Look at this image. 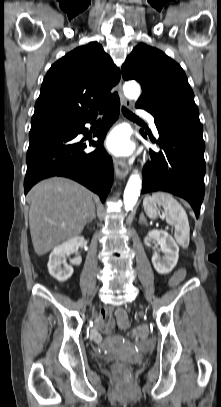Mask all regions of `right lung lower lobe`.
Wrapping results in <instances>:
<instances>
[{"mask_svg": "<svg viewBox=\"0 0 221 407\" xmlns=\"http://www.w3.org/2000/svg\"><path fill=\"white\" fill-rule=\"evenodd\" d=\"M103 122L94 133L98 141H89L97 149L85 153L84 139L77 141L78 134H85L86 123H92L97 113L79 121L60 124L29 133L30 144L26 155L27 172L24 180L25 194L38 181L50 176H64L86 186L100 196L102 202L113 182L112 159L102 147L110 126L118 119L119 100L100 111Z\"/></svg>", "mask_w": 221, "mask_h": 407, "instance_id": "right-lung-lower-lobe-1", "label": "right lung lower lobe"}]
</instances>
